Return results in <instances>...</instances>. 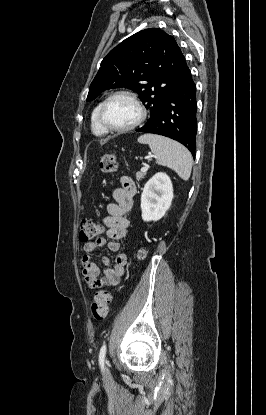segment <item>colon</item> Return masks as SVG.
<instances>
[{
    "label": "colon",
    "instance_id": "obj_1",
    "mask_svg": "<svg viewBox=\"0 0 266 415\" xmlns=\"http://www.w3.org/2000/svg\"><path fill=\"white\" fill-rule=\"evenodd\" d=\"M117 168L116 157L113 154H107L100 160V169L105 173H113ZM103 232V227L91 218H85L81 221L79 238L82 242H88ZM146 255L145 250H140L138 257L143 259ZM111 302V294L107 291H98L91 304V313L96 320L104 319L108 312Z\"/></svg>",
    "mask_w": 266,
    "mask_h": 415
}]
</instances>
